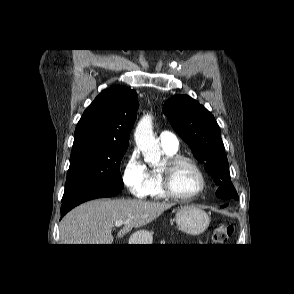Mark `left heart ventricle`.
Masks as SVG:
<instances>
[{
	"instance_id": "b2bd125f",
	"label": "left heart ventricle",
	"mask_w": 294,
	"mask_h": 294,
	"mask_svg": "<svg viewBox=\"0 0 294 294\" xmlns=\"http://www.w3.org/2000/svg\"><path fill=\"white\" fill-rule=\"evenodd\" d=\"M172 184L176 192L191 195L200 187V178L196 171L188 164L180 165L173 174Z\"/></svg>"
}]
</instances>
